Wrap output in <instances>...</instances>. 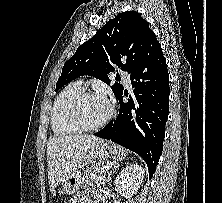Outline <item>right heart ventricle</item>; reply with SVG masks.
<instances>
[{
  "mask_svg": "<svg viewBox=\"0 0 222 203\" xmlns=\"http://www.w3.org/2000/svg\"><path fill=\"white\" fill-rule=\"evenodd\" d=\"M83 91L81 84L71 83L57 96L51 113L52 129L56 135L70 136L80 133L81 130L70 119L69 108L75 97Z\"/></svg>",
  "mask_w": 222,
  "mask_h": 203,
  "instance_id": "right-heart-ventricle-1",
  "label": "right heart ventricle"
}]
</instances>
